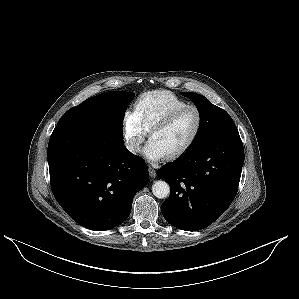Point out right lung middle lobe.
I'll list each match as a JSON object with an SVG mask.
<instances>
[{"label": "right lung middle lobe", "mask_w": 299, "mask_h": 299, "mask_svg": "<svg viewBox=\"0 0 299 299\" xmlns=\"http://www.w3.org/2000/svg\"><path fill=\"white\" fill-rule=\"evenodd\" d=\"M134 93L109 91L85 100L69 109L57 127L78 129L123 140L122 124L125 111Z\"/></svg>", "instance_id": "dd1d6c3e"}]
</instances>
